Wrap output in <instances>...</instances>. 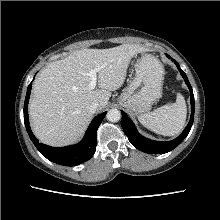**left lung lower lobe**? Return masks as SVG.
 <instances>
[{"label": "left lung lower lobe", "instance_id": "obj_1", "mask_svg": "<svg viewBox=\"0 0 220 220\" xmlns=\"http://www.w3.org/2000/svg\"><path fill=\"white\" fill-rule=\"evenodd\" d=\"M169 59L170 56L166 55ZM173 62H175L178 70L180 71V74L182 75L183 79L185 80L186 85L188 86L190 93H191V117L188 125L184 129V131L174 140L166 141V142H159V141H153L150 139H147L140 135L138 131L136 130L134 124L129 119V117L125 114V112L122 113V128L125 133V135L128 137V140L130 143L136 147L137 149L150 154H164L167 152H170L174 148H176L188 135L192 124L194 120V95L192 87L189 83V80L185 74L184 71L181 70L179 64L171 58Z\"/></svg>", "mask_w": 220, "mask_h": 220}]
</instances>
